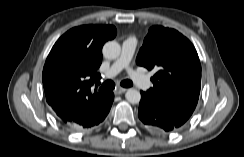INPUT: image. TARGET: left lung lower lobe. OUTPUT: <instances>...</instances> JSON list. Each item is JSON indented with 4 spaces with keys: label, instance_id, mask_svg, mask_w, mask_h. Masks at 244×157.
Listing matches in <instances>:
<instances>
[{
    "label": "left lung lower lobe",
    "instance_id": "obj_1",
    "mask_svg": "<svg viewBox=\"0 0 244 157\" xmlns=\"http://www.w3.org/2000/svg\"><path fill=\"white\" fill-rule=\"evenodd\" d=\"M138 117L151 131L157 134H168L181 127L154 97L143 91H141Z\"/></svg>",
    "mask_w": 244,
    "mask_h": 157
}]
</instances>
